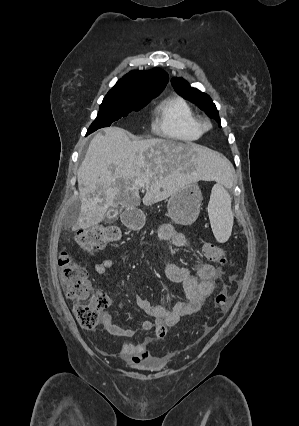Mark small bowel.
<instances>
[{
	"label": "small bowel",
	"mask_w": 299,
	"mask_h": 426,
	"mask_svg": "<svg viewBox=\"0 0 299 426\" xmlns=\"http://www.w3.org/2000/svg\"><path fill=\"white\" fill-rule=\"evenodd\" d=\"M158 236L160 240L171 242L177 247L187 245L186 237L168 224L159 228ZM113 266L114 262L111 259L104 258L94 264V270L99 275L106 276ZM165 274L170 281L180 283L183 286L186 297L184 301L178 302L173 308L168 309L154 305L149 300L135 295V301L139 308L152 318V320L142 322V329L154 331L158 338L165 336L167 327L176 325L182 318L200 309L204 300L213 292L215 282L222 275V271L210 263L199 261L195 266V274H192L188 268L173 263L166 264ZM100 323L113 336L131 338L136 334L134 329L124 328L116 324L112 314L107 309L100 313ZM153 342V338L144 337L137 342L125 344L121 347L119 356L131 365L155 359L150 351Z\"/></svg>",
	"instance_id": "1"
}]
</instances>
